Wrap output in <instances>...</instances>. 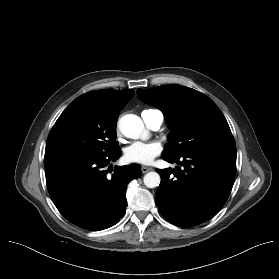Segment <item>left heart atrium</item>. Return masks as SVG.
<instances>
[{
    "instance_id": "obj_1",
    "label": "left heart atrium",
    "mask_w": 279,
    "mask_h": 279,
    "mask_svg": "<svg viewBox=\"0 0 279 279\" xmlns=\"http://www.w3.org/2000/svg\"><path fill=\"white\" fill-rule=\"evenodd\" d=\"M161 151L157 142H134L125 149L124 157L131 163L150 164Z\"/></svg>"
}]
</instances>
